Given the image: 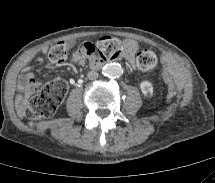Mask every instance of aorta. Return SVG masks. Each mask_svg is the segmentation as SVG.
I'll return each mask as SVG.
<instances>
[{"mask_svg":"<svg viewBox=\"0 0 215 183\" xmlns=\"http://www.w3.org/2000/svg\"><path fill=\"white\" fill-rule=\"evenodd\" d=\"M102 72L107 77L116 78L123 74V69L121 65L117 63H110L103 67Z\"/></svg>","mask_w":215,"mask_h":183,"instance_id":"1","label":"aorta"}]
</instances>
